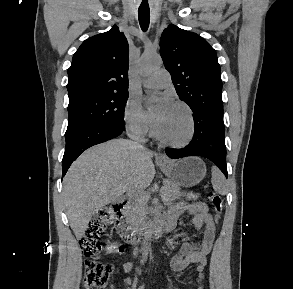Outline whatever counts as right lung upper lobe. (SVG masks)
Instances as JSON below:
<instances>
[{
	"mask_svg": "<svg viewBox=\"0 0 293 289\" xmlns=\"http://www.w3.org/2000/svg\"><path fill=\"white\" fill-rule=\"evenodd\" d=\"M129 46L117 26L85 40L68 69L69 101L128 92Z\"/></svg>",
	"mask_w": 293,
	"mask_h": 289,
	"instance_id": "cb5924a9",
	"label": "right lung upper lobe"
}]
</instances>
